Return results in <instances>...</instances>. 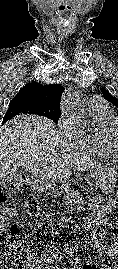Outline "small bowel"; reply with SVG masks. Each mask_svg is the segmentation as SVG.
Instances as JSON below:
<instances>
[{"mask_svg":"<svg viewBox=\"0 0 118 269\" xmlns=\"http://www.w3.org/2000/svg\"><path fill=\"white\" fill-rule=\"evenodd\" d=\"M108 211L100 204H94L92 206V217L86 223V230L89 232V237L87 239V243L90 244L93 248L98 251L105 252L108 256H117L118 254V242L113 241L111 246H107L105 242V232L102 229V225L106 223L105 217ZM55 259L53 257H49L47 259L48 263H53ZM30 264L27 265V269H32ZM117 269L112 264V267H103L101 269ZM45 269H60L58 264L49 265ZM67 269V268H64ZM69 269H80L78 266H73Z\"/></svg>","mask_w":118,"mask_h":269,"instance_id":"1","label":"small bowel"}]
</instances>
